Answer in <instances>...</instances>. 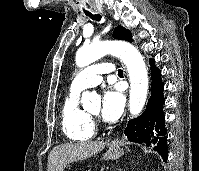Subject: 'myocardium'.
I'll list each match as a JSON object with an SVG mask.
<instances>
[{
  "instance_id": "myocardium-1",
  "label": "myocardium",
  "mask_w": 199,
  "mask_h": 171,
  "mask_svg": "<svg viewBox=\"0 0 199 171\" xmlns=\"http://www.w3.org/2000/svg\"><path fill=\"white\" fill-rule=\"evenodd\" d=\"M91 116L95 117V114H91Z\"/></svg>"
}]
</instances>
